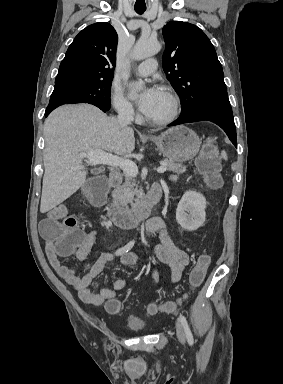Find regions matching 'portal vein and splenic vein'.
I'll return each mask as SVG.
<instances>
[{
  "instance_id": "18ae733b",
  "label": "portal vein and splenic vein",
  "mask_w": 283,
  "mask_h": 384,
  "mask_svg": "<svg viewBox=\"0 0 283 384\" xmlns=\"http://www.w3.org/2000/svg\"><path fill=\"white\" fill-rule=\"evenodd\" d=\"M83 158H86L87 164H107V166H113V168H120L128 176L136 178L138 174V168L132 160H124L119 156H113V154H107L103 150H89L86 154H81ZM158 174H164L166 172V166L161 164L157 170Z\"/></svg>"
}]
</instances>
